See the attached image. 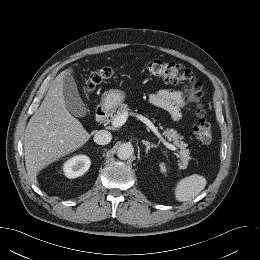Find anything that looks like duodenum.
Wrapping results in <instances>:
<instances>
[{"label":"duodenum","instance_id":"1","mask_svg":"<svg viewBox=\"0 0 260 260\" xmlns=\"http://www.w3.org/2000/svg\"><path fill=\"white\" fill-rule=\"evenodd\" d=\"M108 115H109V106L108 105L99 106L95 112V120L97 122H102L108 117Z\"/></svg>","mask_w":260,"mask_h":260}]
</instances>
